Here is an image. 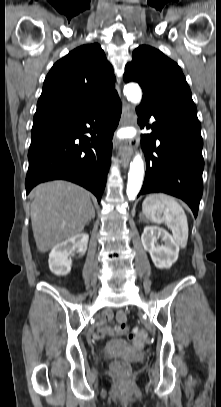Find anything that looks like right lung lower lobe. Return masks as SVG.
I'll list each match as a JSON object with an SVG mask.
<instances>
[{"label": "right lung lower lobe", "mask_w": 221, "mask_h": 407, "mask_svg": "<svg viewBox=\"0 0 221 407\" xmlns=\"http://www.w3.org/2000/svg\"><path fill=\"white\" fill-rule=\"evenodd\" d=\"M121 110L118 97L83 115L33 127L26 193L41 182L64 179L90 190L100 201Z\"/></svg>", "instance_id": "98d812e1"}]
</instances>
